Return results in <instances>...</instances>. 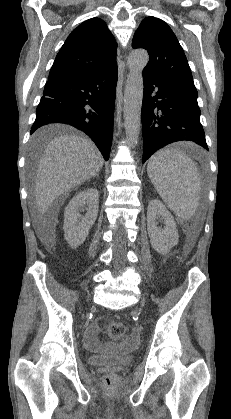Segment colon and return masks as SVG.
Segmentation results:
<instances>
[{"label": "colon", "mask_w": 231, "mask_h": 419, "mask_svg": "<svg viewBox=\"0 0 231 419\" xmlns=\"http://www.w3.org/2000/svg\"><path fill=\"white\" fill-rule=\"evenodd\" d=\"M107 333L111 339L120 340L126 334V327L119 321H112L108 324ZM103 381L106 387L111 388L114 385L115 379L112 375H106Z\"/></svg>", "instance_id": "1"}]
</instances>
